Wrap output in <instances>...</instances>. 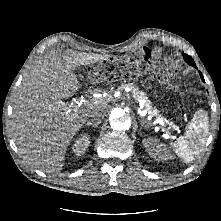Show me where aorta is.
<instances>
[{
	"instance_id": "obj_1",
	"label": "aorta",
	"mask_w": 221,
	"mask_h": 221,
	"mask_svg": "<svg viewBox=\"0 0 221 221\" xmlns=\"http://www.w3.org/2000/svg\"><path fill=\"white\" fill-rule=\"evenodd\" d=\"M132 118L124 109H114L110 115V125L115 131H127L132 126Z\"/></svg>"
}]
</instances>
